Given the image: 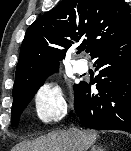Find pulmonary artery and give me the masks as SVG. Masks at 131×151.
<instances>
[{"instance_id": "obj_1", "label": "pulmonary artery", "mask_w": 131, "mask_h": 151, "mask_svg": "<svg viewBox=\"0 0 131 151\" xmlns=\"http://www.w3.org/2000/svg\"><path fill=\"white\" fill-rule=\"evenodd\" d=\"M74 70L77 73H84L88 70V65L86 62L78 60L73 63Z\"/></svg>"}]
</instances>
